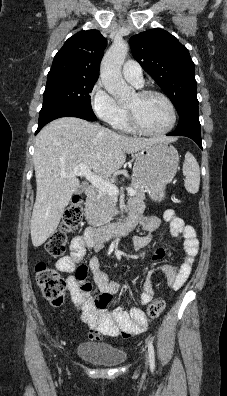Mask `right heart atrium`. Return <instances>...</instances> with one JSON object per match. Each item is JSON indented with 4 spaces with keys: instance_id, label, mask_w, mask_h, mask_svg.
Returning <instances> with one entry per match:
<instances>
[{
    "instance_id": "1",
    "label": "right heart atrium",
    "mask_w": 227,
    "mask_h": 396,
    "mask_svg": "<svg viewBox=\"0 0 227 396\" xmlns=\"http://www.w3.org/2000/svg\"><path fill=\"white\" fill-rule=\"evenodd\" d=\"M94 114L102 121L113 124L121 115L122 107L108 93L101 81H97L89 94Z\"/></svg>"
}]
</instances>
